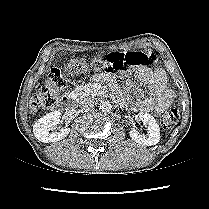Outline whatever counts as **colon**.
Here are the masks:
<instances>
[{
	"label": "colon",
	"mask_w": 209,
	"mask_h": 209,
	"mask_svg": "<svg viewBox=\"0 0 209 209\" xmlns=\"http://www.w3.org/2000/svg\"><path fill=\"white\" fill-rule=\"evenodd\" d=\"M157 55L153 51L129 52V53H111L101 57L100 60L87 63L88 69H103L108 72L128 71L133 67L155 63ZM71 64V63H70ZM69 64V66H70ZM70 73L53 68L48 79L43 80L32 99V110H47L53 108L60 101L62 92L69 83ZM179 119V111L175 107L168 108L162 119V126L167 130Z\"/></svg>",
	"instance_id": "1"
}]
</instances>
